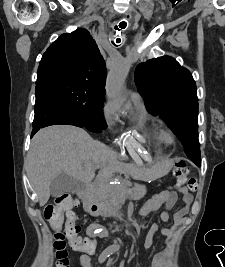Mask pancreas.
<instances>
[{
  "mask_svg": "<svg viewBox=\"0 0 225 267\" xmlns=\"http://www.w3.org/2000/svg\"><path fill=\"white\" fill-rule=\"evenodd\" d=\"M145 186L126 183L123 188L108 186L101 182L95 189V196L100 203V213L103 216H110L118 211V205L123 203L127 197L133 200H140L146 194Z\"/></svg>",
  "mask_w": 225,
  "mask_h": 267,
  "instance_id": "obj_1",
  "label": "pancreas"
}]
</instances>
